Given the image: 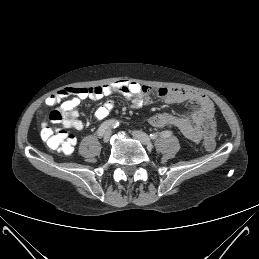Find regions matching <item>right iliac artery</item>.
<instances>
[{
    "label": "right iliac artery",
    "instance_id": "1",
    "mask_svg": "<svg viewBox=\"0 0 259 259\" xmlns=\"http://www.w3.org/2000/svg\"><path fill=\"white\" fill-rule=\"evenodd\" d=\"M114 121H118V120H107L105 122H103L100 127L98 128L97 130V135L101 138L105 132V130L107 129V126L111 123V122H114Z\"/></svg>",
    "mask_w": 259,
    "mask_h": 259
}]
</instances>
